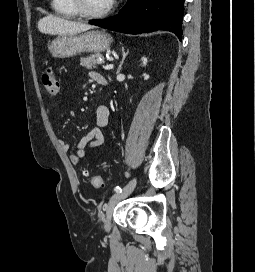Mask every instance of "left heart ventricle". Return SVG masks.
Returning <instances> with one entry per match:
<instances>
[{
    "instance_id": "left-heart-ventricle-1",
    "label": "left heart ventricle",
    "mask_w": 255,
    "mask_h": 272,
    "mask_svg": "<svg viewBox=\"0 0 255 272\" xmlns=\"http://www.w3.org/2000/svg\"><path fill=\"white\" fill-rule=\"evenodd\" d=\"M88 11L98 13L109 7L111 0H84Z\"/></svg>"
}]
</instances>
